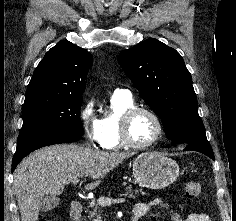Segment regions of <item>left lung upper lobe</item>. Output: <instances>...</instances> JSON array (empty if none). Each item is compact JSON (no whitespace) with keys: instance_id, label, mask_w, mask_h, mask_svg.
<instances>
[{"instance_id":"5c2ea615","label":"left lung upper lobe","mask_w":236,"mask_h":221,"mask_svg":"<svg viewBox=\"0 0 236 221\" xmlns=\"http://www.w3.org/2000/svg\"><path fill=\"white\" fill-rule=\"evenodd\" d=\"M118 60L162 120L168 139L183 145L207 141L191 74L175 49L151 38L120 53Z\"/></svg>"}]
</instances>
